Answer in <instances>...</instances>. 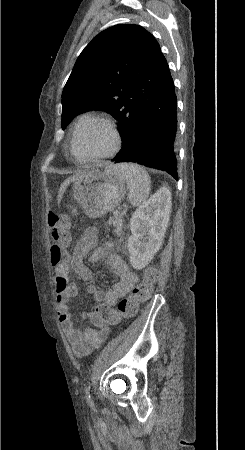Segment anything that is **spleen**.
Here are the masks:
<instances>
[{"label":"spleen","instance_id":"obj_1","mask_svg":"<svg viewBox=\"0 0 245 450\" xmlns=\"http://www.w3.org/2000/svg\"><path fill=\"white\" fill-rule=\"evenodd\" d=\"M117 173L127 183L128 199L133 206H140L150 193V176L147 171L133 163H121L115 166Z\"/></svg>","mask_w":245,"mask_h":450}]
</instances>
